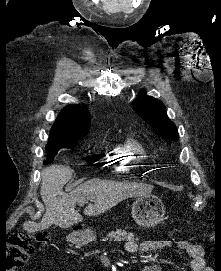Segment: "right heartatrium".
<instances>
[{
  "label": "right heart atrium",
  "instance_id": "obj_1",
  "mask_svg": "<svg viewBox=\"0 0 221 271\" xmlns=\"http://www.w3.org/2000/svg\"><path fill=\"white\" fill-rule=\"evenodd\" d=\"M103 154H104V159H112L111 157L115 155V154H108L106 151Z\"/></svg>",
  "mask_w": 221,
  "mask_h": 271
}]
</instances>
